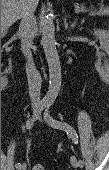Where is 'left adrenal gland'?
<instances>
[{
	"label": "left adrenal gland",
	"mask_w": 109,
	"mask_h": 170,
	"mask_svg": "<svg viewBox=\"0 0 109 170\" xmlns=\"http://www.w3.org/2000/svg\"><path fill=\"white\" fill-rule=\"evenodd\" d=\"M64 20H65V26L68 27V24L66 23V19ZM75 24H76V20L71 24V28H74Z\"/></svg>",
	"instance_id": "a2214340"
}]
</instances>
